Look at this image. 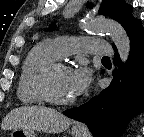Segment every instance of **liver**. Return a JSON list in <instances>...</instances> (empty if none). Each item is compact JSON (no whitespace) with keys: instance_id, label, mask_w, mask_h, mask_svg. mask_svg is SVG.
I'll return each mask as SVG.
<instances>
[{"instance_id":"liver-1","label":"liver","mask_w":144,"mask_h":137,"mask_svg":"<svg viewBox=\"0 0 144 137\" xmlns=\"http://www.w3.org/2000/svg\"><path fill=\"white\" fill-rule=\"evenodd\" d=\"M71 120L55 109L43 106H25L15 108L2 121V129L21 128L37 130L45 133H61L65 131Z\"/></svg>"}]
</instances>
